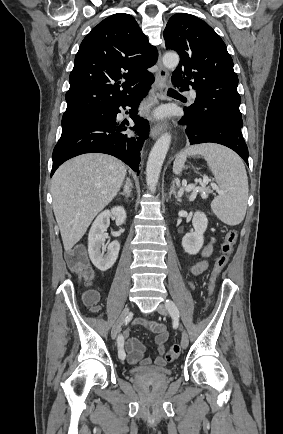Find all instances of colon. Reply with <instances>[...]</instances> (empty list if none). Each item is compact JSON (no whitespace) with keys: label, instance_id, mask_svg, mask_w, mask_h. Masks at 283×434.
Wrapping results in <instances>:
<instances>
[{"label":"colon","instance_id":"5ec220e1","mask_svg":"<svg viewBox=\"0 0 283 434\" xmlns=\"http://www.w3.org/2000/svg\"><path fill=\"white\" fill-rule=\"evenodd\" d=\"M237 241V232L235 230H229L223 239L221 246V254L216 258L210 278V288L214 287L215 281L219 274L223 271L228 263L229 256ZM68 267L80 278L89 280L91 272L88 265L86 253L81 248L71 250L66 257ZM85 301L94 306L97 302V295L93 291H89L85 295ZM180 354V347L173 345L166 353L167 361L175 360Z\"/></svg>","mask_w":283,"mask_h":434}]
</instances>
